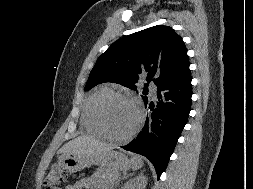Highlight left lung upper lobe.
Instances as JSON below:
<instances>
[{
  "label": "left lung upper lobe",
  "instance_id": "left-lung-upper-lobe-1",
  "mask_svg": "<svg viewBox=\"0 0 253 189\" xmlns=\"http://www.w3.org/2000/svg\"><path fill=\"white\" fill-rule=\"evenodd\" d=\"M187 57L182 38L171 27L153 26L114 42L98 58L84 90L104 82L135 89L142 73L147 74L146 81L160 87L178 71ZM142 98L148 102L147 96Z\"/></svg>",
  "mask_w": 253,
  "mask_h": 189
}]
</instances>
